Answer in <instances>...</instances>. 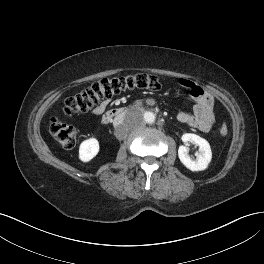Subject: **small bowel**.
Segmentation results:
<instances>
[{"label": "small bowel", "mask_w": 264, "mask_h": 264, "mask_svg": "<svg viewBox=\"0 0 264 264\" xmlns=\"http://www.w3.org/2000/svg\"><path fill=\"white\" fill-rule=\"evenodd\" d=\"M179 84L189 91L195 104L193 113L179 112L176 115L177 120L202 132L210 131L214 124V100L212 96L199 85L188 79H180ZM109 104L110 99L103 100L93 109L92 113L95 116L102 115Z\"/></svg>", "instance_id": "small-bowel-1"}]
</instances>
